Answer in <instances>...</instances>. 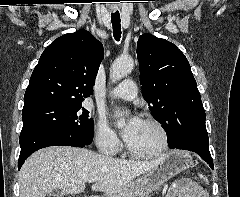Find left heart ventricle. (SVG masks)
Instances as JSON below:
<instances>
[{"label": "left heart ventricle", "instance_id": "left-heart-ventricle-1", "mask_svg": "<svg viewBox=\"0 0 240 197\" xmlns=\"http://www.w3.org/2000/svg\"><path fill=\"white\" fill-rule=\"evenodd\" d=\"M127 144L136 151H152L159 146L160 135L153 125L143 121L135 137Z\"/></svg>", "mask_w": 240, "mask_h": 197}]
</instances>
